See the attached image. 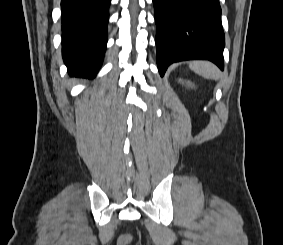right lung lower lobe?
<instances>
[{"mask_svg":"<svg viewBox=\"0 0 283 245\" xmlns=\"http://www.w3.org/2000/svg\"><path fill=\"white\" fill-rule=\"evenodd\" d=\"M111 0H61L62 54L71 76L92 78L107 44Z\"/></svg>","mask_w":283,"mask_h":245,"instance_id":"right-lung-lower-lobe-1","label":"right lung lower lobe"}]
</instances>
